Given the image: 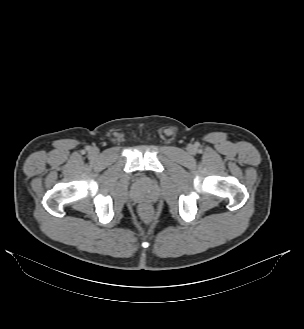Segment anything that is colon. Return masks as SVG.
<instances>
[{
    "mask_svg": "<svg viewBox=\"0 0 304 329\" xmlns=\"http://www.w3.org/2000/svg\"><path fill=\"white\" fill-rule=\"evenodd\" d=\"M140 216L145 222H150L153 218V210L148 205H142L140 207Z\"/></svg>",
    "mask_w": 304,
    "mask_h": 329,
    "instance_id": "1",
    "label": "colon"
}]
</instances>
